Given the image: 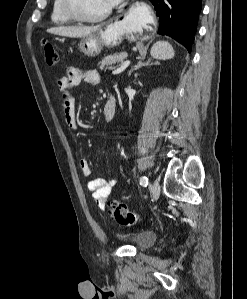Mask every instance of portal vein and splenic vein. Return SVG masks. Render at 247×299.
<instances>
[{"instance_id":"18ae733b","label":"portal vein and splenic vein","mask_w":247,"mask_h":299,"mask_svg":"<svg viewBox=\"0 0 247 299\" xmlns=\"http://www.w3.org/2000/svg\"><path fill=\"white\" fill-rule=\"evenodd\" d=\"M130 64L129 60H126L125 62H123L120 67H118L117 69H114V71L112 72L113 74H119L121 72H123Z\"/></svg>"}]
</instances>
